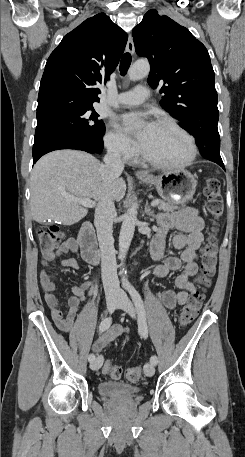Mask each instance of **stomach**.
Wrapping results in <instances>:
<instances>
[{
	"instance_id": "stomach-1",
	"label": "stomach",
	"mask_w": 245,
	"mask_h": 457,
	"mask_svg": "<svg viewBox=\"0 0 245 457\" xmlns=\"http://www.w3.org/2000/svg\"><path fill=\"white\" fill-rule=\"evenodd\" d=\"M147 184H155L157 192H159L163 200L167 202H186L192 198L197 180L189 170L179 168V170H167L159 176H152L151 180L141 178Z\"/></svg>"
}]
</instances>
